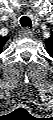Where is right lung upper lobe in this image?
Segmentation results:
<instances>
[{"mask_svg": "<svg viewBox=\"0 0 53 120\" xmlns=\"http://www.w3.org/2000/svg\"><path fill=\"white\" fill-rule=\"evenodd\" d=\"M7 40H8L7 37H0V50Z\"/></svg>", "mask_w": 53, "mask_h": 120, "instance_id": "right-lung-upper-lobe-1", "label": "right lung upper lobe"}]
</instances>
